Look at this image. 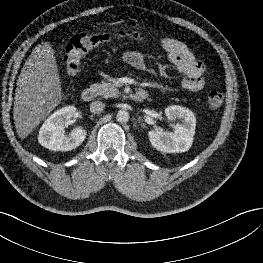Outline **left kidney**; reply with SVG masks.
<instances>
[{
  "mask_svg": "<svg viewBox=\"0 0 263 263\" xmlns=\"http://www.w3.org/2000/svg\"><path fill=\"white\" fill-rule=\"evenodd\" d=\"M168 120H181L174 126L173 132H164L162 129L148 132L151 145L163 153L186 152L192 146L195 133L196 118L192 111L185 107L173 105L165 109Z\"/></svg>",
  "mask_w": 263,
  "mask_h": 263,
  "instance_id": "left-kidney-1",
  "label": "left kidney"
}]
</instances>
